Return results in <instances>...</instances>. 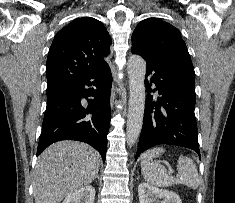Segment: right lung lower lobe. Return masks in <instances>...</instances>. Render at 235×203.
<instances>
[{
	"label": "right lung lower lobe",
	"instance_id": "98d812e1",
	"mask_svg": "<svg viewBox=\"0 0 235 203\" xmlns=\"http://www.w3.org/2000/svg\"><path fill=\"white\" fill-rule=\"evenodd\" d=\"M95 86L86 88V86ZM112 75L108 64L81 76L47 95V107L39 138L37 156L54 142L77 140L88 143L105 162L110 126ZM87 99L88 105L81 103Z\"/></svg>",
	"mask_w": 235,
	"mask_h": 203
}]
</instances>
